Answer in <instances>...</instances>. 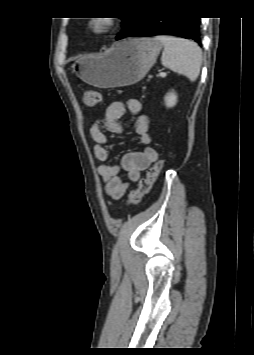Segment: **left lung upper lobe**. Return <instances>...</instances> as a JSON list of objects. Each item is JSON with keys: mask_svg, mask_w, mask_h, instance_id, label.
<instances>
[{"mask_svg": "<svg viewBox=\"0 0 254 355\" xmlns=\"http://www.w3.org/2000/svg\"><path fill=\"white\" fill-rule=\"evenodd\" d=\"M123 26L120 34L116 37V39L121 38L124 34H126L135 24L137 18H122Z\"/></svg>", "mask_w": 254, "mask_h": 355, "instance_id": "left-lung-upper-lobe-1", "label": "left lung upper lobe"}]
</instances>
